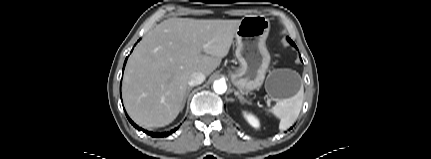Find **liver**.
I'll list each match as a JSON object with an SVG mask.
<instances>
[{
	"instance_id": "obj_1",
	"label": "liver",
	"mask_w": 431,
	"mask_h": 159,
	"mask_svg": "<svg viewBox=\"0 0 431 159\" xmlns=\"http://www.w3.org/2000/svg\"><path fill=\"white\" fill-rule=\"evenodd\" d=\"M241 20L170 18L142 39L128 60L122 86L138 125L163 127L182 110L193 72L210 75L231 47Z\"/></svg>"
}]
</instances>
